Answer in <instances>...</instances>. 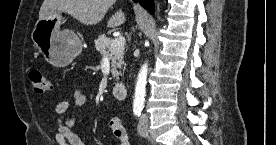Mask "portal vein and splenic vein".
Instances as JSON below:
<instances>
[{
  "label": "portal vein and splenic vein",
  "mask_w": 276,
  "mask_h": 145,
  "mask_svg": "<svg viewBox=\"0 0 276 145\" xmlns=\"http://www.w3.org/2000/svg\"><path fill=\"white\" fill-rule=\"evenodd\" d=\"M124 45H125V38L122 37V36H120V37H116V38L112 41L110 47H111L112 49H116V48L124 47Z\"/></svg>",
  "instance_id": "obj_1"
}]
</instances>
